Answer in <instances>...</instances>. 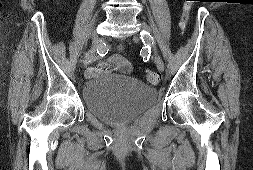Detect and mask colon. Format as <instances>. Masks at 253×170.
<instances>
[{
  "label": "colon",
  "mask_w": 253,
  "mask_h": 170,
  "mask_svg": "<svg viewBox=\"0 0 253 170\" xmlns=\"http://www.w3.org/2000/svg\"><path fill=\"white\" fill-rule=\"evenodd\" d=\"M190 1L193 0H186L184 7H183V13H182V17H181V22H180V27L182 30L185 29L189 16H190V12L192 9V4ZM99 69L100 70H120L123 72H128L131 70V64L123 57H118L115 59H109L107 61L102 62L99 65ZM146 79L149 83H157L159 81V75L156 71H148L146 73Z\"/></svg>",
  "instance_id": "colon-1"
}]
</instances>
